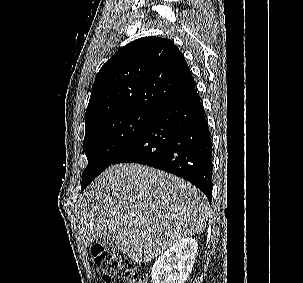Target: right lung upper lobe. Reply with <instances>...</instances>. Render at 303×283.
Masks as SVG:
<instances>
[{"mask_svg":"<svg viewBox=\"0 0 303 283\" xmlns=\"http://www.w3.org/2000/svg\"><path fill=\"white\" fill-rule=\"evenodd\" d=\"M194 89L190 68L173 41L155 36L134 40L98 72L85 126L127 111L157 113Z\"/></svg>","mask_w":303,"mask_h":283,"instance_id":"right-lung-upper-lobe-1","label":"right lung upper lobe"}]
</instances>
